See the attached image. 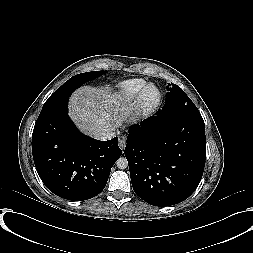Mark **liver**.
<instances>
[{"label": "liver", "instance_id": "liver-1", "mask_svg": "<svg viewBox=\"0 0 253 253\" xmlns=\"http://www.w3.org/2000/svg\"><path fill=\"white\" fill-rule=\"evenodd\" d=\"M134 110L135 102L108 86L81 87L69 100V116L83 133L92 137L121 128L125 121L135 122Z\"/></svg>", "mask_w": 253, "mask_h": 253}]
</instances>
